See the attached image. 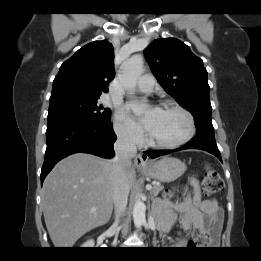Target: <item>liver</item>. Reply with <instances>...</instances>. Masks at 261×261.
Returning a JSON list of instances; mask_svg holds the SVG:
<instances>
[{"mask_svg":"<svg viewBox=\"0 0 261 261\" xmlns=\"http://www.w3.org/2000/svg\"><path fill=\"white\" fill-rule=\"evenodd\" d=\"M136 172L126 170L129 188ZM45 224L56 248H71L90 230L106 224L113 210V163L76 153L61 160L42 189Z\"/></svg>","mask_w":261,"mask_h":261,"instance_id":"liver-1","label":"liver"}]
</instances>
